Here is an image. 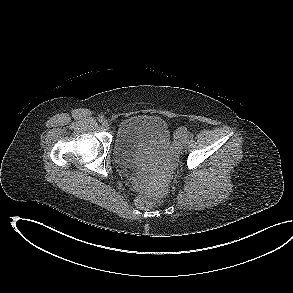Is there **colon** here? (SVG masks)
<instances>
[{
	"instance_id": "colon-1",
	"label": "colon",
	"mask_w": 293,
	"mask_h": 293,
	"mask_svg": "<svg viewBox=\"0 0 293 293\" xmlns=\"http://www.w3.org/2000/svg\"><path fill=\"white\" fill-rule=\"evenodd\" d=\"M181 132V131H180ZM161 204L160 200H149L142 195L136 198V205L141 209H149Z\"/></svg>"
}]
</instances>
